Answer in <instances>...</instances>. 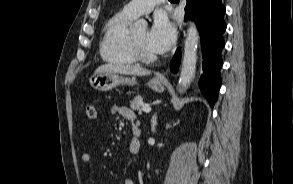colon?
<instances>
[{
	"label": "colon",
	"instance_id": "1",
	"mask_svg": "<svg viewBox=\"0 0 293 184\" xmlns=\"http://www.w3.org/2000/svg\"><path fill=\"white\" fill-rule=\"evenodd\" d=\"M86 116L89 120H94L97 116L96 108L93 104H89L86 107Z\"/></svg>",
	"mask_w": 293,
	"mask_h": 184
}]
</instances>
